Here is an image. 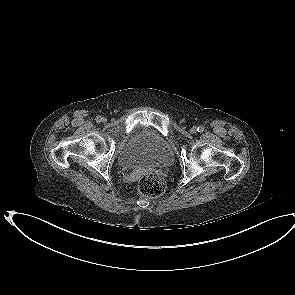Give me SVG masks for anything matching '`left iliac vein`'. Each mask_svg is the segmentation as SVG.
<instances>
[{
    "instance_id": "obj_1",
    "label": "left iliac vein",
    "mask_w": 295,
    "mask_h": 295,
    "mask_svg": "<svg viewBox=\"0 0 295 295\" xmlns=\"http://www.w3.org/2000/svg\"><path fill=\"white\" fill-rule=\"evenodd\" d=\"M190 132H191L192 134L196 133V132H197V128H196V127H192V128L190 129Z\"/></svg>"
}]
</instances>
